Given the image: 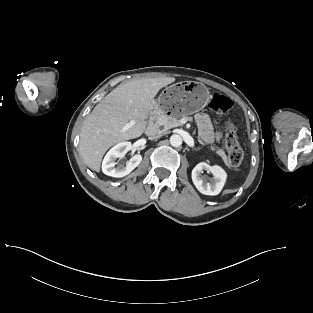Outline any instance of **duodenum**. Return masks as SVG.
Returning a JSON list of instances; mask_svg holds the SVG:
<instances>
[{"label": "duodenum", "mask_w": 313, "mask_h": 313, "mask_svg": "<svg viewBox=\"0 0 313 313\" xmlns=\"http://www.w3.org/2000/svg\"><path fill=\"white\" fill-rule=\"evenodd\" d=\"M159 128V123H158V116L153 115L150 119V122L148 124V127L146 129V133L148 136H154Z\"/></svg>", "instance_id": "410a0bca"}]
</instances>
